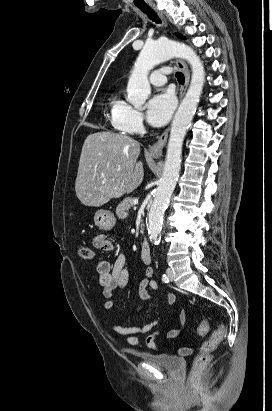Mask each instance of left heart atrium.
<instances>
[{
  "label": "left heart atrium",
  "instance_id": "obj_1",
  "mask_svg": "<svg viewBox=\"0 0 272 411\" xmlns=\"http://www.w3.org/2000/svg\"><path fill=\"white\" fill-rule=\"evenodd\" d=\"M175 108V99L170 92L154 95L147 104V118L153 126H163L170 119Z\"/></svg>",
  "mask_w": 272,
  "mask_h": 411
}]
</instances>
